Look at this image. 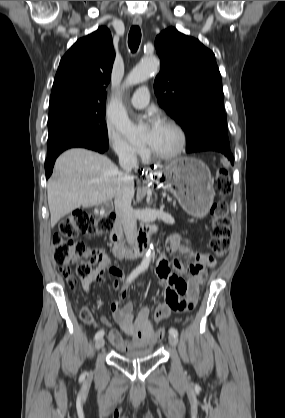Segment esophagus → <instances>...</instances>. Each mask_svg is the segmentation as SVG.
I'll return each instance as SVG.
<instances>
[{"mask_svg":"<svg viewBox=\"0 0 285 418\" xmlns=\"http://www.w3.org/2000/svg\"><path fill=\"white\" fill-rule=\"evenodd\" d=\"M133 24L134 25H137V26H140L141 24H142V18H141V16L140 15H135L134 16V18H133ZM146 170L148 171V170H151V168L150 167H148V168H146Z\"/></svg>","mask_w":285,"mask_h":418,"instance_id":"34e87169","label":"esophagus"}]
</instances>
